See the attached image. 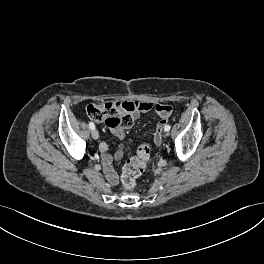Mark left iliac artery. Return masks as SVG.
Masks as SVG:
<instances>
[{
  "label": "left iliac artery",
  "instance_id": "obj_1",
  "mask_svg": "<svg viewBox=\"0 0 264 264\" xmlns=\"http://www.w3.org/2000/svg\"><path fill=\"white\" fill-rule=\"evenodd\" d=\"M170 128H171V126H170V125H166V126H165V131H169V130H170Z\"/></svg>",
  "mask_w": 264,
  "mask_h": 264
}]
</instances>
